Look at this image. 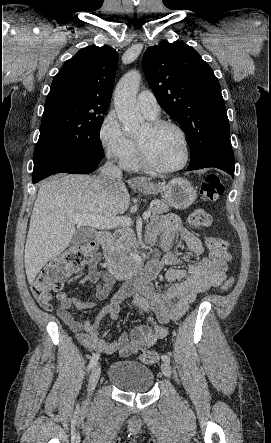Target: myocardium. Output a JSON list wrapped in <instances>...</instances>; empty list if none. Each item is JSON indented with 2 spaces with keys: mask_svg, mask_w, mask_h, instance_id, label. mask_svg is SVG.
<instances>
[{
  "mask_svg": "<svg viewBox=\"0 0 271 443\" xmlns=\"http://www.w3.org/2000/svg\"><path fill=\"white\" fill-rule=\"evenodd\" d=\"M163 127L174 128L176 131H178V133L182 137L184 147H185V156H184V159L182 160V162L179 163L178 165L171 166V167L159 166L158 164H156L152 160L145 141L137 138L136 143H137L140 162L143 166H145L147 169L152 170L154 172L171 173V172L181 170L185 166H187V164L189 163L190 158H191V145H190V140H189L187 133L177 123L170 121V120L156 119V118L149 120L147 123V128L150 132H154V131L161 129Z\"/></svg>",
  "mask_w": 271,
  "mask_h": 443,
  "instance_id": "f54148a6",
  "label": "myocardium"
}]
</instances>
